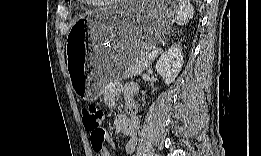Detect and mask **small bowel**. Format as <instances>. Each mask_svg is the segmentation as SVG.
Masks as SVG:
<instances>
[{
  "label": "small bowel",
  "instance_id": "c3829d8e",
  "mask_svg": "<svg viewBox=\"0 0 261 156\" xmlns=\"http://www.w3.org/2000/svg\"><path fill=\"white\" fill-rule=\"evenodd\" d=\"M138 91V87L135 83H127L122 88V94L125 100L124 107L126 114L118 115L115 118V129L118 134L126 138L124 145L125 154L131 155L136 149L138 131L140 127V121L137 116L138 107L134 100V96ZM116 89L114 87L108 88L104 93V102L109 108H116L118 106V100L116 96ZM104 141H106L112 147V153H115V145L112 138L105 133ZM104 143V142H103ZM95 151V150H94ZM95 153L98 156H110L111 152L103 144L101 148Z\"/></svg>",
  "mask_w": 261,
  "mask_h": 156
}]
</instances>
